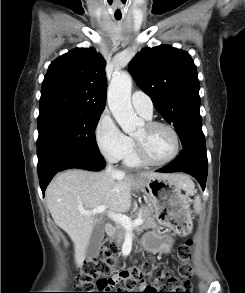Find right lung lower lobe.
<instances>
[{"label":"right lung lower lobe","instance_id":"right-lung-lower-lobe-1","mask_svg":"<svg viewBox=\"0 0 245 293\" xmlns=\"http://www.w3.org/2000/svg\"><path fill=\"white\" fill-rule=\"evenodd\" d=\"M105 166V160L101 154L85 152H68L58 155L50 160L41 170H38L42 193L54 175L60 171L79 168L90 171H100Z\"/></svg>","mask_w":245,"mask_h":293}]
</instances>
